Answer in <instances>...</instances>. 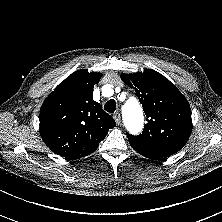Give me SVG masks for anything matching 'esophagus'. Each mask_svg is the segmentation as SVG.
Here are the masks:
<instances>
[{
    "label": "esophagus",
    "mask_w": 222,
    "mask_h": 222,
    "mask_svg": "<svg viewBox=\"0 0 222 222\" xmlns=\"http://www.w3.org/2000/svg\"><path fill=\"white\" fill-rule=\"evenodd\" d=\"M113 118L115 119V121H116L117 124H120L121 115H120L119 112H115V113L113 114Z\"/></svg>",
    "instance_id": "1"
}]
</instances>
